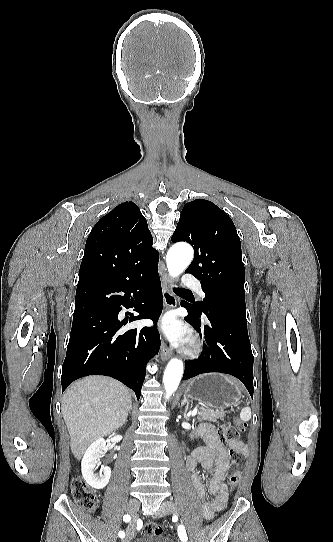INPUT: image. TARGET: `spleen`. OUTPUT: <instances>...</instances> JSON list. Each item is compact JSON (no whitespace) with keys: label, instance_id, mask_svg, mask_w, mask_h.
Returning a JSON list of instances; mask_svg holds the SVG:
<instances>
[{"label":"spleen","instance_id":"obj_1","mask_svg":"<svg viewBox=\"0 0 333 542\" xmlns=\"http://www.w3.org/2000/svg\"><path fill=\"white\" fill-rule=\"evenodd\" d=\"M240 420H242V422H249V420H251V408H242Z\"/></svg>","mask_w":333,"mask_h":542}]
</instances>
